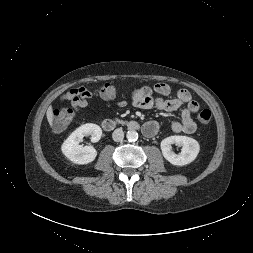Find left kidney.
I'll list each match as a JSON object with an SVG mask.
<instances>
[{
    "label": "left kidney",
    "mask_w": 253,
    "mask_h": 253,
    "mask_svg": "<svg viewBox=\"0 0 253 253\" xmlns=\"http://www.w3.org/2000/svg\"><path fill=\"white\" fill-rule=\"evenodd\" d=\"M172 144L182 146L181 153L176 154L172 151ZM161 150L164 158L171 164L183 166L194 161L200 151L199 143L187 136H170L162 140Z\"/></svg>",
    "instance_id": "5707ae66"
}]
</instances>
